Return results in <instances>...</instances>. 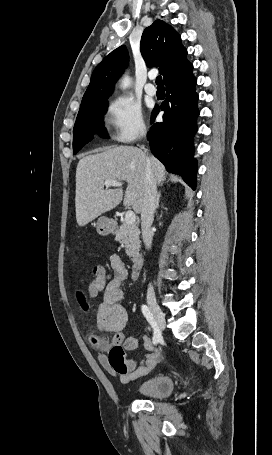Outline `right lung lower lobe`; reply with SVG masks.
Instances as JSON below:
<instances>
[{
    "label": "right lung lower lobe",
    "mask_w": 272,
    "mask_h": 455,
    "mask_svg": "<svg viewBox=\"0 0 272 455\" xmlns=\"http://www.w3.org/2000/svg\"><path fill=\"white\" fill-rule=\"evenodd\" d=\"M192 71L166 84V100L160 109L163 122L155 123L147 134L150 148L168 172L181 175L193 189L196 188L197 161L193 158V136L197 130L198 95ZM159 112L155 107L151 123Z\"/></svg>",
    "instance_id": "obj_1"
}]
</instances>
